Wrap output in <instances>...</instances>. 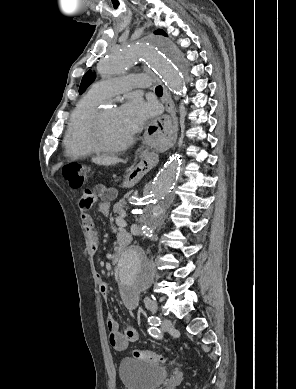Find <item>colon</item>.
Listing matches in <instances>:
<instances>
[{"label": "colon", "instance_id": "1", "mask_svg": "<svg viewBox=\"0 0 296 389\" xmlns=\"http://www.w3.org/2000/svg\"><path fill=\"white\" fill-rule=\"evenodd\" d=\"M87 173V169L84 165L79 163H71L63 168V176L69 183L70 187L78 189L83 183ZM134 358L139 361L156 364L163 362V356L153 350H140L135 349L132 351Z\"/></svg>", "mask_w": 296, "mask_h": 389}]
</instances>
